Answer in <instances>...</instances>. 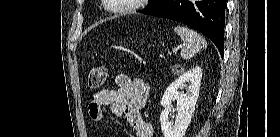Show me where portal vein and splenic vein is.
<instances>
[{
	"label": "portal vein and splenic vein",
	"instance_id": "18ae733b",
	"mask_svg": "<svg viewBox=\"0 0 280 137\" xmlns=\"http://www.w3.org/2000/svg\"><path fill=\"white\" fill-rule=\"evenodd\" d=\"M178 48H175L173 51H168V55H172V53L177 52Z\"/></svg>",
	"mask_w": 280,
	"mask_h": 137
}]
</instances>
